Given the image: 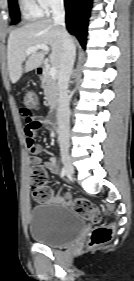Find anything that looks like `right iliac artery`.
Here are the masks:
<instances>
[{
    "mask_svg": "<svg viewBox=\"0 0 134 281\" xmlns=\"http://www.w3.org/2000/svg\"><path fill=\"white\" fill-rule=\"evenodd\" d=\"M65 175H66V170L65 167L63 166L61 170V177L63 178Z\"/></svg>",
    "mask_w": 134,
    "mask_h": 281,
    "instance_id": "right-iliac-artery-1",
    "label": "right iliac artery"
}]
</instances>
